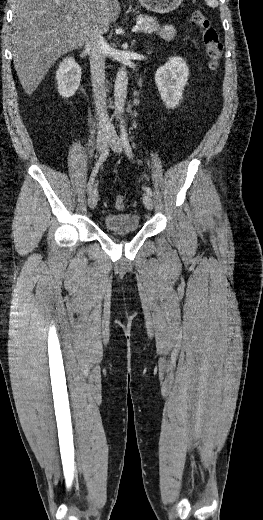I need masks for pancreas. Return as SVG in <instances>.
<instances>
[{
	"mask_svg": "<svg viewBox=\"0 0 263 520\" xmlns=\"http://www.w3.org/2000/svg\"><path fill=\"white\" fill-rule=\"evenodd\" d=\"M137 20L140 21V31L145 33L156 32L160 29V25L156 21L155 17L140 14L137 16Z\"/></svg>",
	"mask_w": 263,
	"mask_h": 520,
	"instance_id": "1",
	"label": "pancreas"
}]
</instances>
